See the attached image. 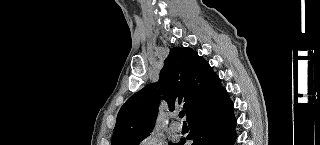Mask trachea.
<instances>
[{
	"label": "trachea",
	"instance_id": "1",
	"mask_svg": "<svg viewBox=\"0 0 320 145\" xmlns=\"http://www.w3.org/2000/svg\"><path fill=\"white\" fill-rule=\"evenodd\" d=\"M184 115H185V112H184V111H180V113H179V117H180V118H183V117H184Z\"/></svg>",
	"mask_w": 320,
	"mask_h": 145
}]
</instances>
